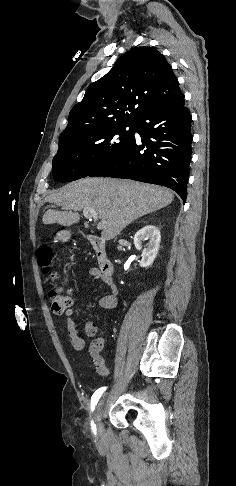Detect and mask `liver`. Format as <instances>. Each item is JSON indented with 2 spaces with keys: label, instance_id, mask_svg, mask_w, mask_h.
I'll return each instance as SVG.
<instances>
[{
  "label": "liver",
  "instance_id": "liver-1",
  "mask_svg": "<svg viewBox=\"0 0 236 486\" xmlns=\"http://www.w3.org/2000/svg\"><path fill=\"white\" fill-rule=\"evenodd\" d=\"M173 198L171 191L157 185L112 178H84L46 198L64 211L47 210L42 222L71 226L80 220L78 211L93 209L106 223L102 238L111 240L134 220L169 205Z\"/></svg>",
  "mask_w": 236,
  "mask_h": 486
}]
</instances>
